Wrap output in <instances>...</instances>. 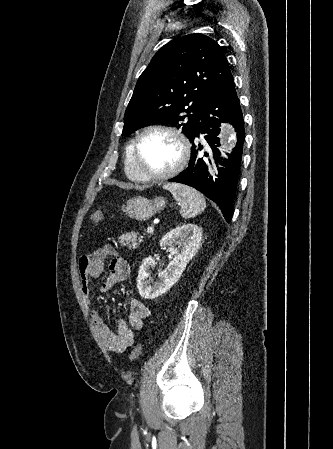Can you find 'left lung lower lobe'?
<instances>
[{
  "label": "left lung lower lobe",
  "mask_w": 333,
  "mask_h": 449,
  "mask_svg": "<svg viewBox=\"0 0 333 449\" xmlns=\"http://www.w3.org/2000/svg\"><path fill=\"white\" fill-rule=\"evenodd\" d=\"M221 122H230L236 131L237 144L228 160L220 163L225 167L219 169L217 178L209 175L206 162L211 163V156L205 152L201 156L200 151L203 146L198 142L199 133L204 134L206 142L209 144L216 161H219L220 151L219 126ZM245 139L244 120L239 99L237 97L234 80L231 76L212 96L204 108L195 134L191 140L192 156L187 169L180 175L170 179L171 182H179L202 192L209 199L217 203L224 218L229 222L233 215V201L235 198L240 164ZM215 157V156H214Z\"/></svg>",
  "instance_id": "0a47b994"
}]
</instances>
